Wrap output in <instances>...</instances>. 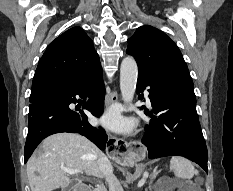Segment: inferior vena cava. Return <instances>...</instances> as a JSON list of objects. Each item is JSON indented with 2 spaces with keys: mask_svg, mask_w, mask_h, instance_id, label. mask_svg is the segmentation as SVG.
<instances>
[{
  "mask_svg": "<svg viewBox=\"0 0 233 191\" xmlns=\"http://www.w3.org/2000/svg\"><path fill=\"white\" fill-rule=\"evenodd\" d=\"M99 169L104 175L109 185V191H123L122 186L116 176L113 174L111 162L104 155L98 160Z\"/></svg>",
  "mask_w": 233,
  "mask_h": 191,
  "instance_id": "1",
  "label": "inferior vena cava"
}]
</instances>
